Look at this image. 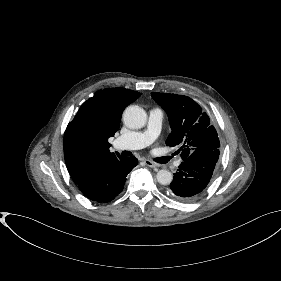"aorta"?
I'll return each mask as SVG.
<instances>
[{
    "label": "aorta",
    "mask_w": 281,
    "mask_h": 281,
    "mask_svg": "<svg viewBox=\"0 0 281 281\" xmlns=\"http://www.w3.org/2000/svg\"><path fill=\"white\" fill-rule=\"evenodd\" d=\"M146 120L147 114L145 110L136 105L127 107L123 113V121L131 129L142 128ZM156 178L161 185H169L173 180V175L170 171L162 169L157 172Z\"/></svg>",
    "instance_id": "762f6f07"
}]
</instances>
